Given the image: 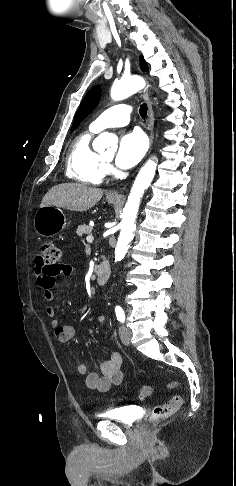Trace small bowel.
Wrapping results in <instances>:
<instances>
[{
    "mask_svg": "<svg viewBox=\"0 0 236 486\" xmlns=\"http://www.w3.org/2000/svg\"><path fill=\"white\" fill-rule=\"evenodd\" d=\"M34 272L36 282L43 290L44 298L48 302H52L55 299L53 287L56 284L57 277L61 275L70 277L75 273L73 267L66 264H58L53 268H49L44 265L40 257L35 261ZM45 313L51 318V326L60 342H68L75 337V327L72 325H60L59 320L55 318V310L52 306L46 307ZM96 321L98 324H104L106 317L99 315ZM74 367L78 374L84 376L85 386L99 392L108 391L112 385L119 384L123 378L122 357L115 351L111 352L109 360L100 366V373L88 372L86 365L81 361L75 362Z\"/></svg>",
    "mask_w": 236,
    "mask_h": 486,
    "instance_id": "1",
    "label": "small bowel"
}]
</instances>
